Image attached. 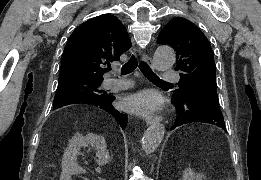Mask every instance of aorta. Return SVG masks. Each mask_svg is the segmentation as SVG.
Masks as SVG:
<instances>
[{"label": "aorta", "instance_id": "obj_1", "mask_svg": "<svg viewBox=\"0 0 261 180\" xmlns=\"http://www.w3.org/2000/svg\"><path fill=\"white\" fill-rule=\"evenodd\" d=\"M176 60L175 53L168 46H159L153 56V64L159 71L172 68ZM165 127L161 123H155L148 127L142 138V150L146 154L153 153L164 138Z\"/></svg>", "mask_w": 261, "mask_h": 180}]
</instances>
